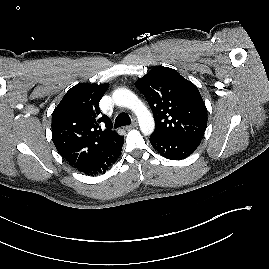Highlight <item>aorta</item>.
Segmentation results:
<instances>
[{
	"instance_id": "obj_1",
	"label": "aorta",
	"mask_w": 269,
	"mask_h": 269,
	"mask_svg": "<svg viewBox=\"0 0 269 269\" xmlns=\"http://www.w3.org/2000/svg\"><path fill=\"white\" fill-rule=\"evenodd\" d=\"M116 105L129 108L137 116L140 130L144 135H150L154 130V119L146 105L130 90L119 88L113 92Z\"/></svg>"
}]
</instances>
